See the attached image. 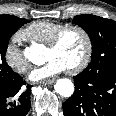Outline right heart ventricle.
I'll use <instances>...</instances> for the list:
<instances>
[{
    "instance_id": "e07e8e85",
    "label": "right heart ventricle",
    "mask_w": 116,
    "mask_h": 116,
    "mask_svg": "<svg viewBox=\"0 0 116 116\" xmlns=\"http://www.w3.org/2000/svg\"><path fill=\"white\" fill-rule=\"evenodd\" d=\"M63 26L64 24L60 22L39 20L29 24L19 33L23 40L47 45L53 35Z\"/></svg>"
}]
</instances>
